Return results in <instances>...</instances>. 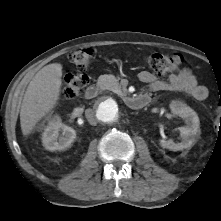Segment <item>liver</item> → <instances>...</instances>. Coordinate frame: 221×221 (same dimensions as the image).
Returning <instances> with one entry per match:
<instances>
[{
    "instance_id": "6515ba94",
    "label": "liver",
    "mask_w": 221,
    "mask_h": 221,
    "mask_svg": "<svg viewBox=\"0 0 221 221\" xmlns=\"http://www.w3.org/2000/svg\"><path fill=\"white\" fill-rule=\"evenodd\" d=\"M62 65L52 63L40 69L30 81L20 110V125L24 136L56 105L62 86Z\"/></svg>"
}]
</instances>
